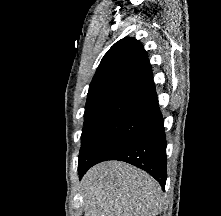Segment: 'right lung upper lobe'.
Masks as SVG:
<instances>
[{
	"label": "right lung upper lobe",
	"instance_id": "cb5924a9",
	"mask_svg": "<svg viewBox=\"0 0 221 216\" xmlns=\"http://www.w3.org/2000/svg\"><path fill=\"white\" fill-rule=\"evenodd\" d=\"M157 107L146 51L136 39L119 40L102 58L89 86L84 123L120 113L150 115Z\"/></svg>",
	"mask_w": 221,
	"mask_h": 216
}]
</instances>
